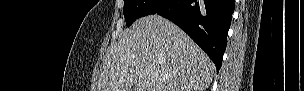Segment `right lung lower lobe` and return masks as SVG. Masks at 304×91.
Returning a JSON list of instances; mask_svg holds the SVG:
<instances>
[{
	"label": "right lung lower lobe",
	"instance_id": "98d812e1",
	"mask_svg": "<svg viewBox=\"0 0 304 91\" xmlns=\"http://www.w3.org/2000/svg\"><path fill=\"white\" fill-rule=\"evenodd\" d=\"M233 12L234 0H168L152 14L161 15L183 29L219 71Z\"/></svg>",
	"mask_w": 304,
	"mask_h": 91
}]
</instances>
